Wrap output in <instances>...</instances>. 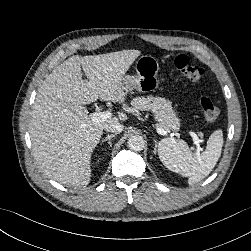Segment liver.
Segmentation results:
<instances>
[{"mask_svg": "<svg viewBox=\"0 0 251 251\" xmlns=\"http://www.w3.org/2000/svg\"><path fill=\"white\" fill-rule=\"evenodd\" d=\"M139 50L100 55L72 56L57 66L38 89L30 120L32 151L43 172L72 187L91 180V156L108 123L125 122L117 117L93 122L86 104L102 101L123 103L127 93L121 81ZM83 69L88 80L82 78Z\"/></svg>", "mask_w": 251, "mask_h": 251, "instance_id": "obj_1", "label": "liver"}]
</instances>
